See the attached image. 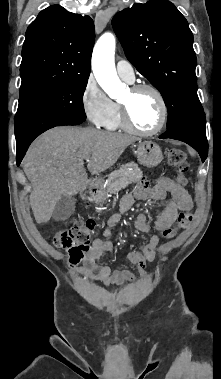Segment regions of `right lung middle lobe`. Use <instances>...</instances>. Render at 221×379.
<instances>
[{
    "mask_svg": "<svg viewBox=\"0 0 221 379\" xmlns=\"http://www.w3.org/2000/svg\"><path fill=\"white\" fill-rule=\"evenodd\" d=\"M87 78L64 79L20 89L15 115L16 143L35 139L42 132L86 119L83 94Z\"/></svg>",
    "mask_w": 221,
    "mask_h": 379,
    "instance_id": "obj_1",
    "label": "right lung middle lobe"
}]
</instances>
